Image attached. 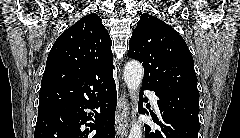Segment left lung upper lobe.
<instances>
[{
  "label": "left lung upper lobe",
  "instance_id": "left-lung-upper-lobe-1",
  "mask_svg": "<svg viewBox=\"0 0 240 138\" xmlns=\"http://www.w3.org/2000/svg\"><path fill=\"white\" fill-rule=\"evenodd\" d=\"M128 57L142 63L143 87L159 93L198 92L193 57L184 39L160 19L141 15L129 41Z\"/></svg>",
  "mask_w": 240,
  "mask_h": 138
}]
</instances>
